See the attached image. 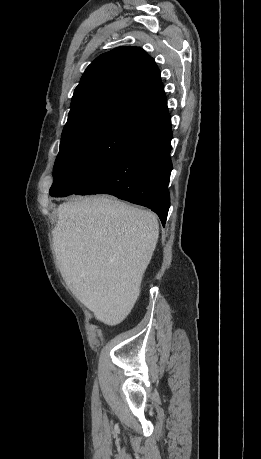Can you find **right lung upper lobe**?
Segmentation results:
<instances>
[{
    "mask_svg": "<svg viewBox=\"0 0 261 459\" xmlns=\"http://www.w3.org/2000/svg\"><path fill=\"white\" fill-rule=\"evenodd\" d=\"M169 116L160 71L139 47L100 55L74 91L62 140L116 122L153 127Z\"/></svg>",
    "mask_w": 261,
    "mask_h": 459,
    "instance_id": "obj_1",
    "label": "right lung upper lobe"
}]
</instances>
